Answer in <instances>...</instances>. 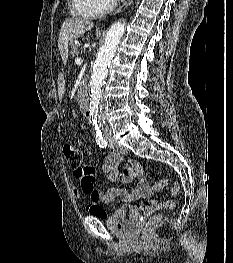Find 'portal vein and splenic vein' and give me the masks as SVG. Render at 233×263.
Segmentation results:
<instances>
[{"mask_svg": "<svg viewBox=\"0 0 233 263\" xmlns=\"http://www.w3.org/2000/svg\"><path fill=\"white\" fill-rule=\"evenodd\" d=\"M79 62L82 63V59H79Z\"/></svg>", "mask_w": 233, "mask_h": 263, "instance_id": "obj_1", "label": "portal vein and splenic vein"}]
</instances>
